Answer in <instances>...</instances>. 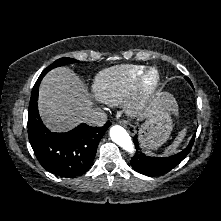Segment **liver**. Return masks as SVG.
I'll list each match as a JSON object with an SVG mask.
<instances>
[{
  "label": "liver",
  "mask_w": 221,
  "mask_h": 221,
  "mask_svg": "<svg viewBox=\"0 0 221 221\" xmlns=\"http://www.w3.org/2000/svg\"><path fill=\"white\" fill-rule=\"evenodd\" d=\"M92 101L79 76L68 67H58L46 74L39 86L38 109L52 131H67L82 122L92 110ZM170 110L177 112L174 98Z\"/></svg>",
  "instance_id": "6515ba94"
}]
</instances>
